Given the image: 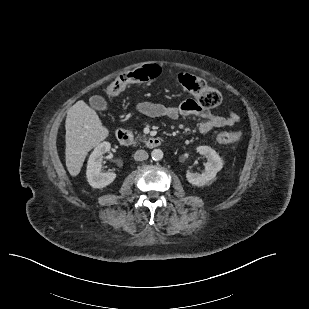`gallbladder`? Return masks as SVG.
Masks as SVG:
<instances>
[{
    "instance_id": "1",
    "label": "gallbladder",
    "mask_w": 309,
    "mask_h": 309,
    "mask_svg": "<svg viewBox=\"0 0 309 309\" xmlns=\"http://www.w3.org/2000/svg\"><path fill=\"white\" fill-rule=\"evenodd\" d=\"M89 103L94 109L97 110H105L107 108V103L105 99L98 95L90 97Z\"/></svg>"
}]
</instances>
